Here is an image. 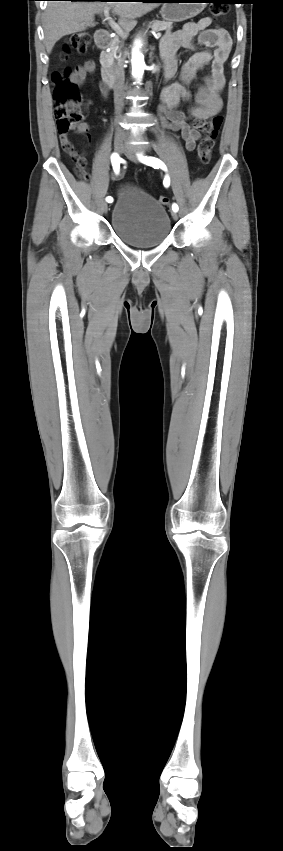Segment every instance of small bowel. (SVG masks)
I'll return each mask as SVG.
<instances>
[{"mask_svg": "<svg viewBox=\"0 0 283 851\" xmlns=\"http://www.w3.org/2000/svg\"><path fill=\"white\" fill-rule=\"evenodd\" d=\"M212 20L204 17L197 22H189L175 32L164 35L160 43L161 58L165 65V79L170 80L177 72V51L179 48L194 49L195 39L205 49L195 53L182 67L181 79L166 85L161 91V104L159 112L162 124L169 130L179 132L185 143L187 151L195 149L200 139L203 125L211 116L222 109V91L224 78V65L229 57L232 41L226 30L220 27H211ZM211 64V74L206 76L203 85L193 95L195 104L186 111L181 109L184 101L192 97L188 85L195 79L197 73L206 65ZM96 71L94 61H87L84 65L77 66L70 75V79L76 85H80L87 74ZM100 98H109V86L104 81L98 82ZM60 142L66 153L75 162L86 164V155L79 154L73 147L67 135H60Z\"/></svg>", "mask_w": 283, "mask_h": 851, "instance_id": "small-bowel-1", "label": "small bowel"}]
</instances>
